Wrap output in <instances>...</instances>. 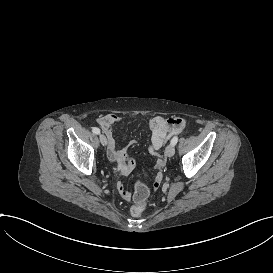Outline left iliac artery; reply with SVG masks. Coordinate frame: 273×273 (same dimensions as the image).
<instances>
[{"mask_svg": "<svg viewBox=\"0 0 273 273\" xmlns=\"http://www.w3.org/2000/svg\"><path fill=\"white\" fill-rule=\"evenodd\" d=\"M177 142H178V137L177 136L173 137L171 140V144L176 145Z\"/></svg>", "mask_w": 273, "mask_h": 273, "instance_id": "44dca946", "label": "left iliac artery"}]
</instances>
